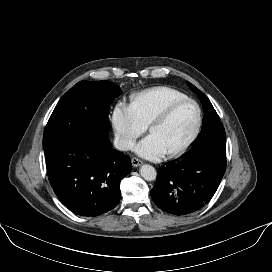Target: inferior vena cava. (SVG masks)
<instances>
[{
  "instance_id": "inferior-vena-cava-1",
  "label": "inferior vena cava",
  "mask_w": 272,
  "mask_h": 272,
  "mask_svg": "<svg viewBox=\"0 0 272 272\" xmlns=\"http://www.w3.org/2000/svg\"><path fill=\"white\" fill-rule=\"evenodd\" d=\"M133 142L122 137H116L114 139V147L120 151H126L133 148Z\"/></svg>"
}]
</instances>
